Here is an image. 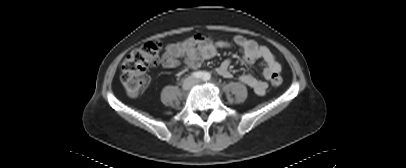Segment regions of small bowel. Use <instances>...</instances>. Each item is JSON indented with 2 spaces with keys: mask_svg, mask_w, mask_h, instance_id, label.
<instances>
[{
  "mask_svg": "<svg viewBox=\"0 0 406 168\" xmlns=\"http://www.w3.org/2000/svg\"><path fill=\"white\" fill-rule=\"evenodd\" d=\"M233 42L240 49L245 64H252L259 60L262 65L260 79L243 74L238 78L239 82L249 86L257 95H264L272 75L281 71L280 64L268 47L252 39L235 35ZM228 47L229 43L226 41L214 42L208 36L194 35L183 41L168 44L161 58V64L165 68H175L183 62L189 68H199L204 60L213 58L218 49ZM230 64L231 60L225 59L217 68V73L224 78H231Z\"/></svg>",
  "mask_w": 406,
  "mask_h": 168,
  "instance_id": "small-bowel-1",
  "label": "small bowel"
}]
</instances>
